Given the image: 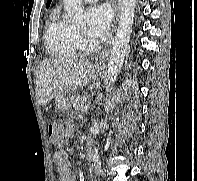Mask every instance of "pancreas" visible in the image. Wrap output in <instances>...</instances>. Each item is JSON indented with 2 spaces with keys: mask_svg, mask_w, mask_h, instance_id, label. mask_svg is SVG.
<instances>
[{
  "mask_svg": "<svg viewBox=\"0 0 197 181\" xmlns=\"http://www.w3.org/2000/svg\"><path fill=\"white\" fill-rule=\"evenodd\" d=\"M85 102H86V97L85 96H77L72 101L73 109L75 111H80L81 107L84 106Z\"/></svg>",
  "mask_w": 197,
  "mask_h": 181,
  "instance_id": "obj_1",
  "label": "pancreas"
}]
</instances>
